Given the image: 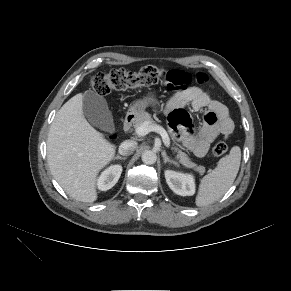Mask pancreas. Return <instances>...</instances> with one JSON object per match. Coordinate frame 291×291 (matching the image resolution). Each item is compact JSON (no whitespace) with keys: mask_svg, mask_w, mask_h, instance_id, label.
<instances>
[{"mask_svg":"<svg viewBox=\"0 0 291 291\" xmlns=\"http://www.w3.org/2000/svg\"><path fill=\"white\" fill-rule=\"evenodd\" d=\"M144 122H150L154 124V121L152 119V116L148 112L142 113L137 120L134 122V127L137 128L140 125H142ZM174 151L177 152L176 158L179 160V162L184 165L187 168H192L199 174H203L205 172V167L201 165H197L194 162L191 161V159L188 157V155L178 148H174Z\"/></svg>","mask_w":291,"mask_h":291,"instance_id":"cf45deb5","label":"pancreas"}]
</instances>
